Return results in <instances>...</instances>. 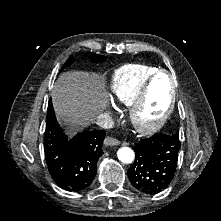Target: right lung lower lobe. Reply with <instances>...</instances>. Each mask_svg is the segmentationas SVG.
<instances>
[{"label": "right lung lower lobe", "instance_id": "obj_1", "mask_svg": "<svg viewBox=\"0 0 221 221\" xmlns=\"http://www.w3.org/2000/svg\"><path fill=\"white\" fill-rule=\"evenodd\" d=\"M105 135L104 130L84 131L68 140L49 101L44 152L49 173L58 186L73 192L90 186L97 172V161L103 154Z\"/></svg>", "mask_w": 221, "mask_h": 221}]
</instances>
